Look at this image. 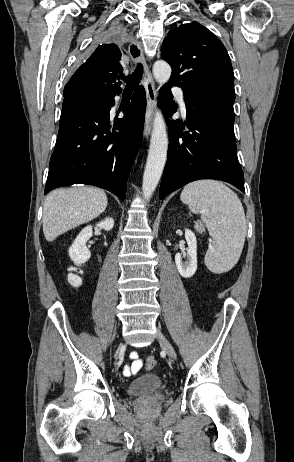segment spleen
Instances as JSON below:
<instances>
[{
	"label": "spleen",
	"mask_w": 294,
	"mask_h": 462,
	"mask_svg": "<svg viewBox=\"0 0 294 462\" xmlns=\"http://www.w3.org/2000/svg\"><path fill=\"white\" fill-rule=\"evenodd\" d=\"M194 213H201L213 238L205 264L213 273L229 271L238 262L245 242L246 218L237 194L222 182L200 180L186 185L180 196Z\"/></svg>",
	"instance_id": "1"
}]
</instances>
